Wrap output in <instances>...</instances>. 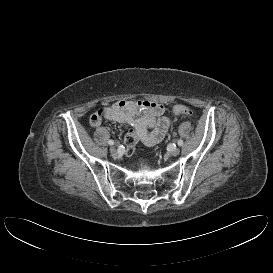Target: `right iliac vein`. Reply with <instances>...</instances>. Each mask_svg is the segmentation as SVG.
<instances>
[{
	"label": "right iliac vein",
	"instance_id": "right-iliac-vein-1",
	"mask_svg": "<svg viewBox=\"0 0 273 273\" xmlns=\"http://www.w3.org/2000/svg\"><path fill=\"white\" fill-rule=\"evenodd\" d=\"M110 153H111L112 155H116V154H117V150H116V148H115L114 146H112V147L110 148Z\"/></svg>",
	"mask_w": 273,
	"mask_h": 273
}]
</instances>
